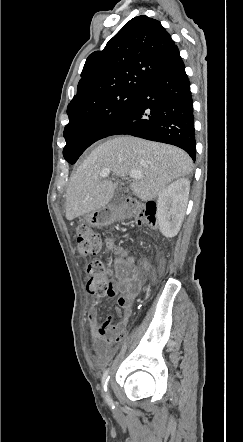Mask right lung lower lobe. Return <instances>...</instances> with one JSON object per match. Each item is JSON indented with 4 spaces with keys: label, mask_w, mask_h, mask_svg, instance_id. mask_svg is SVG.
Instances as JSON below:
<instances>
[{
    "label": "right lung lower lobe",
    "mask_w": 243,
    "mask_h": 442,
    "mask_svg": "<svg viewBox=\"0 0 243 442\" xmlns=\"http://www.w3.org/2000/svg\"><path fill=\"white\" fill-rule=\"evenodd\" d=\"M117 134L175 145L195 160L193 100L179 53L148 78L101 137Z\"/></svg>",
    "instance_id": "1"
}]
</instances>
